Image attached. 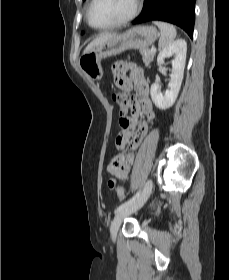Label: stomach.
I'll return each instance as SVG.
<instances>
[{"instance_id": "stomach-1", "label": "stomach", "mask_w": 229, "mask_h": 280, "mask_svg": "<svg viewBox=\"0 0 229 280\" xmlns=\"http://www.w3.org/2000/svg\"><path fill=\"white\" fill-rule=\"evenodd\" d=\"M158 36L159 32L153 26L132 27L84 53L79 59V67L90 79L100 80L103 76L102 59L118 55L128 49H148Z\"/></svg>"}]
</instances>
